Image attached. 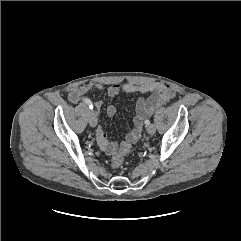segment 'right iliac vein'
Listing matches in <instances>:
<instances>
[{
	"instance_id": "63e3f726",
	"label": "right iliac vein",
	"mask_w": 241,
	"mask_h": 241,
	"mask_svg": "<svg viewBox=\"0 0 241 241\" xmlns=\"http://www.w3.org/2000/svg\"><path fill=\"white\" fill-rule=\"evenodd\" d=\"M88 119L90 126L95 127L97 124V116L94 111H89Z\"/></svg>"
}]
</instances>
